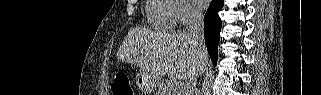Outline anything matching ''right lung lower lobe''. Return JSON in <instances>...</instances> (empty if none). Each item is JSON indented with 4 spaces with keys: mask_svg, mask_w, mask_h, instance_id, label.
<instances>
[{
    "mask_svg": "<svg viewBox=\"0 0 321 95\" xmlns=\"http://www.w3.org/2000/svg\"><path fill=\"white\" fill-rule=\"evenodd\" d=\"M224 5V0H212L204 17V38L212 62L216 65L218 44L222 27L218 12Z\"/></svg>",
    "mask_w": 321,
    "mask_h": 95,
    "instance_id": "1",
    "label": "right lung lower lobe"
}]
</instances>
